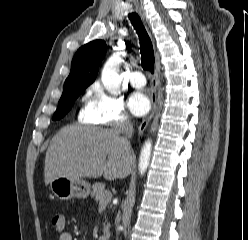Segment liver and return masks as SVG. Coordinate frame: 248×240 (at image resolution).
Wrapping results in <instances>:
<instances>
[{"label": "liver", "instance_id": "1", "mask_svg": "<svg viewBox=\"0 0 248 240\" xmlns=\"http://www.w3.org/2000/svg\"><path fill=\"white\" fill-rule=\"evenodd\" d=\"M134 165V153L114 129L70 125L51 140L45 156L48 185L57 177L123 179Z\"/></svg>", "mask_w": 248, "mask_h": 240}]
</instances>
